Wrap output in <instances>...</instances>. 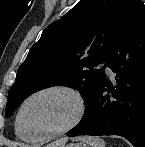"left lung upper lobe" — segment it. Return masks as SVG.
<instances>
[{
  "label": "left lung upper lobe",
  "mask_w": 145,
  "mask_h": 147,
  "mask_svg": "<svg viewBox=\"0 0 145 147\" xmlns=\"http://www.w3.org/2000/svg\"><path fill=\"white\" fill-rule=\"evenodd\" d=\"M131 0H80L51 23L19 67L5 116L43 88L63 85L79 90L86 108L101 82L106 61L124 23ZM85 108V109H86Z\"/></svg>",
  "instance_id": "1"
}]
</instances>
